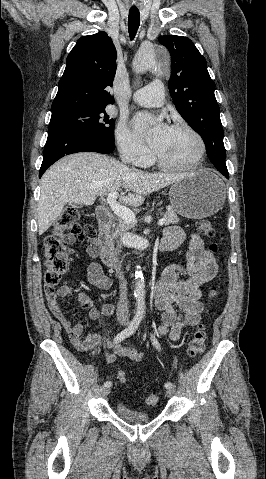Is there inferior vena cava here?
<instances>
[{
  "label": "inferior vena cava",
  "instance_id": "602c4592",
  "mask_svg": "<svg viewBox=\"0 0 266 479\" xmlns=\"http://www.w3.org/2000/svg\"><path fill=\"white\" fill-rule=\"evenodd\" d=\"M123 161L124 158H122ZM121 252V245H117L115 253L119 254ZM117 277L119 278V288H120V298L117 303L116 315L118 320H126L129 317L128 310V300H127V281L122 272H117Z\"/></svg>",
  "mask_w": 266,
  "mask_h": 479
}]
</instances>
